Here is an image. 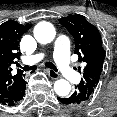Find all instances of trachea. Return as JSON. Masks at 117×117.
<instances>
[{
    "label": "trachea",
    "instance_id": "trachea-1",
    "mask_svg": "<svg viewBox=\"0 0 117 117\" xmlns=\"http://www.w3.org/2000/svg\"><path fill=\"white\" fill-rule=\"evenodd\" d=\"M45 66L48 67V68H50V69H52V70H54V71H56V72L58 71V69L56 68V66L52 62H46ZM19 67L22 68L24 71L35 70L37 68L36 65H32V66L26 65L24 67H21L19 65Z\"/></svg>",
    "mask_w": 117,
    "mask_h": 117
}]
</instances>
